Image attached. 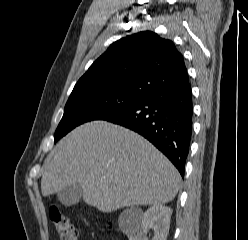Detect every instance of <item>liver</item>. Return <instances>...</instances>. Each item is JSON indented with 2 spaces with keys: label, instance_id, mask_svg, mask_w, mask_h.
Instances as JSON below:
<instances>
[{
  "label": "liver",
  "instance_id": "liver-1",
  "mask_svg": "<svg viewBox=\"0 0 248 240\" xmlns=\"http://www.w3.org/2000/svg\"><path fill=\"white\" fill-rule=\"evenodd\" d=\"M181 176L137 133L106 121L83 124L48 155L41 179L44 197L78 184L83 200L102 212L174 199Z\"/></svg>",
  "mask_w": 248,
  "mask_h": 240
}]
</instances>
